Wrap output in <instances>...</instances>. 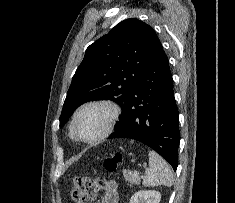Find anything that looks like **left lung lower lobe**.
Listing matches in <instances>:
<instances>
[{
    "label": "left lung lower lobe",
    "mask_w": 235,
    "mask_h": 203,
    "mask_svg": "<svg viewBox=\"0 0 235 203\" xmlns=\"http://www.w3.org/2000/svg\"><path fill=\"white\" fill-rule=\"evenodd\" d=\"M131 138L154 149L174 170L180 141L176 106L168 58L161 43L144 69L130 101L108 139Z\"/></svg>",
    "instance_id": "0a47b994"
}]
</instances>
